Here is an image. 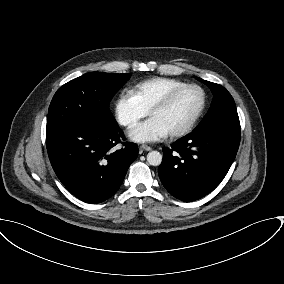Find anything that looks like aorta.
<instances>
[{"label": "aorta", "mask_w": 284, "mask_h": 284, "mask_svg": "<svg viewBox=\"0 0 284 284\" xmlns=\"http://www.w3.org/2000/svg\"><path fill=\"white\" fill-rule=\"evenodd\" d=\"M147 162L152 166H159L162 162V155L158 151H151L147 154Z\"/></svg>", "instance_id": "762f6f07"}]
</instances>
